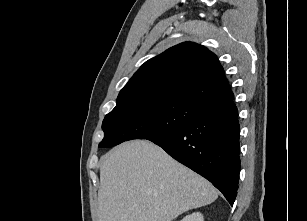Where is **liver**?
Here are the masks:
<instances>
[{
    "label": "liver",
    "instance_id": "obj_1",
    "mask_svg": "<svg viewBox=\"0 0 307 221\" xmlns=\"http://www.w3.org/2000/svg\"><path fill=\"white\" fill-rule=\"evenodd\" d=\"M217 197L206 179L147 140L123 143L101 158L98 221H172Z\"/></svg>",
    "mask_w": 307,
    "mask_h": 221
}]
</instances>
